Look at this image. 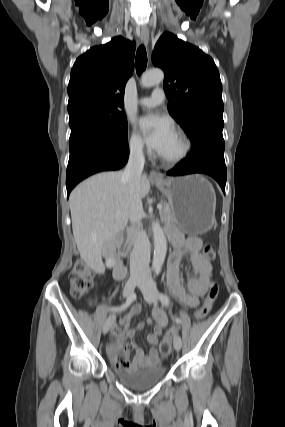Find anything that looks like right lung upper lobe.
<instances>
[{"mask_svg": "<svg viewBox=\"0 0 285 427\" xmlns=\"http://www.w3.org/2000/svg\"><path fill=\"white\" fill-rule=\"evenodd\" d=\"M135 43L115 37L77 58L68 85L69 115L90 108L119 109L134 69Z\"/></svg>", "mask_w": 285, "mask_h": 427, "instance_id": "cb5924a9", "label": "right lung upper lobe"}]
</instances>
